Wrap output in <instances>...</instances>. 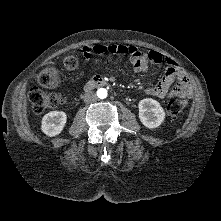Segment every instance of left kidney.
<instances>
[{"label":"left kidney","mask_w":221,"mask_h":221,"mask_svg":"<svg viewBox=\"0 0 221 221\" xmlns=\"http://www.w3.org/2000/svg\"><path fill=\"white\" fill-rule=\"evenodd\" d=\"M139 119L141 123L149 128H158L165 119V112L158 101L146 98L139 102Z\"/></svg>","instance_id":"1"}]
</instances>
